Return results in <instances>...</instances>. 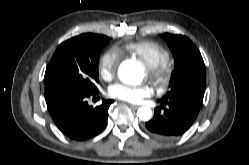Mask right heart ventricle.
Here are the masks:
<instances>
[{"mask_svg":"<svg viewBox=\"0 0 249 165\" xmlns=\"http://www.w3.org/2000/svg\"><path fill=\"white\" fill-rule=\"evenodd\" d=\"M125 49L143 61L147 67H155L169 60L170 57L166 47L151 40L128 43L125 45Z\"/></svg>","mask_w":249,"mask_h":165,"instance_id":"obj_1","label":"right heart ventricle"}]
</instances>
